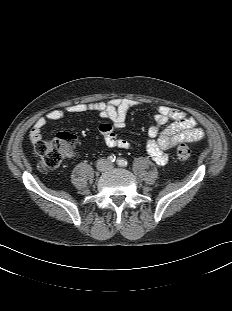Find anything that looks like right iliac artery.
Here are the masks:
<instances>
[{
  "instance_id": "obj_1",
  "label": "right iliac artery",
  "mask_w": 232,
  "mask_h": 311,
  "mask_svg": "<svg viewBox=\"0 0 232 311\" xmlns=\"http://www.w3.org/2000/svg\"><path fill=\"white\" fill-rule=\"evenodd\" d=\"M108 159H109L110 162H115L116 157L114 155H111V156H109Z\"/></svg>"
}]
</instances>
